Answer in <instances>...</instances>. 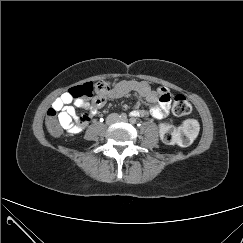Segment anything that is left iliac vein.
Instances as JSON below:
<instances>
[{"instance_id":"obj_1","label":"left iliac vein","mask_w":243,"mask_h":243,"mask_svg":"<svg viewBox=\"0 0 243 243\" xmlns=\"http://www.w3.org/2000/svg\"><path fill=\"white\" fill-rule=\"evenodd\" d=\"M122 122H127V119H121Z\"/></svg>"}]
</instances>
